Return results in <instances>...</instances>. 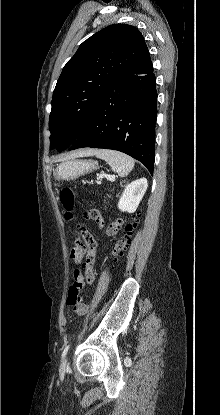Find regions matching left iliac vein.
<instances>
[{
    "label": "left iliac vein",
    "instance_id": "left-iliac-vein-1",
    "mask_svg": "<svg viewBox=\"0 0 220 415\" xmlns=\"http://www.w3.org/2000/svg\"><path fill=\"white\" fill-rule=\"evenodd\" d=\"M63 364H64V365H66V364H67V361H66V360H64V361H63Z\"/></svg>",
    "mask_w": 220,
    "mask_h": 415
}]
</instances>
